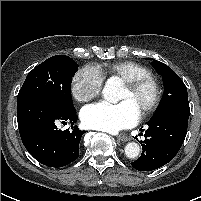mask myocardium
Here are the masks:
<instances>
[{
    "label": "myocardium",
    "mask_w": 201,
    "mask_h": 201,
    "mask_svg": "<svg viewBox=\"0 0 201 201\" xmlns=\"http://www.w3.org/2000/svg\"><path fill=\"white\" fill-rule=\"evenodd\" d=\"M123 85L132 92L139 90L145 85L151 86L153 97L150 103L139 113V117L145 118L152 114L158 108L162 98V86L160 81L156 77L149 74L126 80L123 82Z\"/></svg>",
    "instance_id": "myocardium-1"
}]
</instances>
